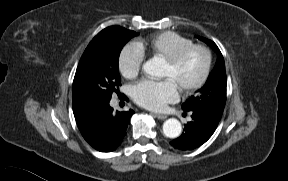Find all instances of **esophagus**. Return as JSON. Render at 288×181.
<instances>
[{"instance_id":"esophagus-1","label":"esophagus","mask_w":288,"mask_h":181,"mask_svg":"<svg viewBox=\"0 0 288 181\" xmlns=\"http://www.w3.org/2000/svg\"><path fill=\"white\" fill-rule=\"evenodd\" d=\"M153 115H155L158 119H161V120L167 118V115H164V114L153 113Z\"/></svg>"}]
</instances>
